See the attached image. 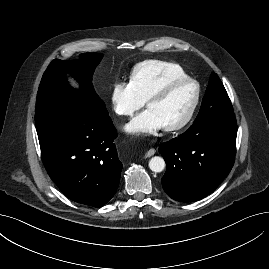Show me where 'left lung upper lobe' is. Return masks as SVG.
Masks as SVG:
<instances>
[{
	"label": "left lung upper lobe",
	"mask_w": 269,
	"mask_h": 269,
	"mask_svg": "<svg viewBox=\"0 0 269 269\" xmlns=\"http://www.w3.org/2000/svg\"><path fill=\"white\" fill-rule=\"evenodd\" d=\"M233 113V107L228 94L216 73H212L204 95L197 120L216 118Z\"/></svg>",
	"instance_id": "1"
}]
</instances>
